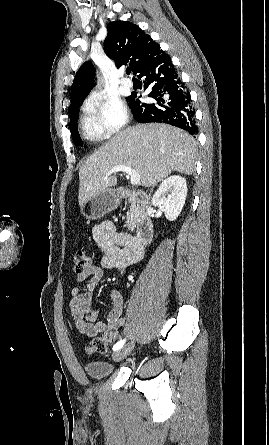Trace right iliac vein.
I'll return each instance as SVG.
<instances>
[{
	"label": "right iliac vein",
	"instance_id": "1",
	"mask_svg": "<svg viewBox=\"0 0 269 445\" xmlns=\"http://www.w3.org/2000/svg\"><path fill=\"white\" fill-rule=\"evenodd\" d=\"M133 349V345H127L121 349H119L118 351H116L113 354V360L114 361H121L122 359H124L125 357H127L131 351Z\"/></svg>",
	"mask_w": 269,
	"mask_h": 445
}]
</instances>
